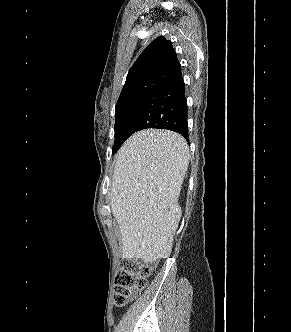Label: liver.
Here are the masks:
<instances>
[{
    "label": "liver",
    "mask_w": 291,
    "mask_h": 332,
    "mask_svg": "<svg viewBox=\"0 0 291 332\" xmlns=\"http://www.w3.org/2000/svg\"><path fill=\"white\" fill-rule=\"evenodd\" d=\"M190 159L186 140L168 130L133 134L116 155L110 195L122 258L153 262L169 257L181 219L178 204Z\"/></svg>",
    "instance_id": "obj_1"
}]
</instances>
